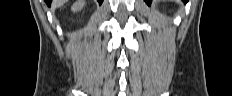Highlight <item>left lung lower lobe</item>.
Segmentation results:
<instances>
[{
    "label": "left lung lower lobe",
    "mask_w": 232,
    "mask_h": 96,
    "mask_svg": "<svg viewBox=\"0 0 232 96\" xmlns=\"http://www.w3.org/2000/svg\"><path fill=\"white\" fill-rule=\"evenodd\" d=\"M188 0H183V2H187ZM145 2L148 4V5H150L151 4V2H152V0H145Z\"/></svg>",
    "instance_id": "obj_1"
}]
</instances>
